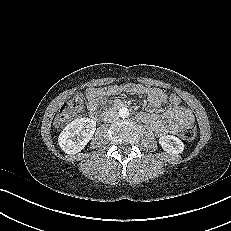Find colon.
Returning <instances> with one entry per match:
<instances>
[{
	"instance_id": "1",
	"label": "colon",
	"mask_w": 231,
	"mask_h": 231,
	"mask_svg": "<svg viewBox=\"0 0 231 231\" xmlns=\"http://www.w3.org/2000/svg\"><path fill=\"white\" fill-rule=\"evenodd\" d=\"M172 106H181V99L175 94L168 97ZM84 109V98L82 95H75L59 111L55 118V126L63 127L73 116L81 113ZM181 136L186 141H193L196 137V128L193 125H185L181 129Z\"/></svg>"
}]
</instances>
